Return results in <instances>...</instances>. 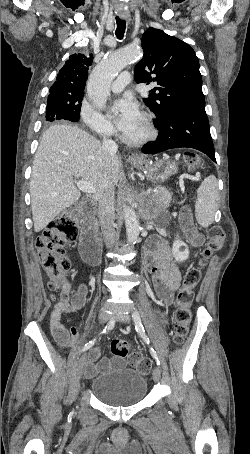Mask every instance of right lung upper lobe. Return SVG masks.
I'll return each mask as SVG.
<instances>
[{
  "mask_svg": "<svg viewBox=\"0 0 250 454\" xmlns=\"http://www.w3.org/2000/svg\"><path fill=\"white\" fill-rule=\"evenodd\" d=\"M93 56L87 58L83 54H73L60 69L55 83L49 90V95L61 97H77L84 94L88 67L92 64Z\"/></svg>",
  "mask_w": 250,
  "mask_h": 454,
  "instance_id": "right-lung-upper-lobe-1",
  "label": "right lung upper lobe"
}]
</instances>
